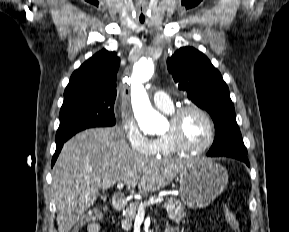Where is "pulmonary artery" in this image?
<instances>
[{
    "mask_svg": "<svg viewBox=\"0 0 289 232\" xmlns=\"http://www.w3.org/2000/svg\"><path fill=\"white\" fill-rule=\"evenodd\" d=\"M153 102L156 107L162 110H169L173 107L171 98L163 91H157L154 93Z\"/></svg>",
    "mask_w": 289,
    "mask_h": 232,
    "instance_id": "pulmonary-artery-1",
    "label": "pulmonary artery"
}]
</instances>
